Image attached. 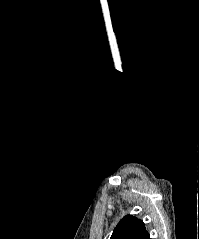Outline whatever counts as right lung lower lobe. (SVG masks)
Segmentation results:
<instances>
[{"mask_svg":"<svg viewBox=\"0 0 199 239\" xmlns=\"http://www.w3.org/2000/svg\"><path fill=\"white\" fill-rule=\"evenodd\" d=\"M146 239H150V238H149V235L146 237Z\"/></svg>","mask_w":199,"mask_h":239,"instance_id":"1","label":"right lung lower lobe"}]
</instances>
